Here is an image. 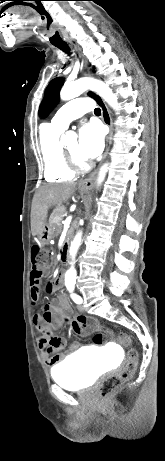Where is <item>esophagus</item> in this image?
<instances>
[{
    "label": "esophagus",
    "instance_id": "obj_1",
    "mask_svg": "<svg viewBox=\"0 0 165 461\" xmlns=\"http://www.w3.org/2000/svg\"><path fill=\"white\" fill-rule=\"evenodd\" d=\"M71 44L75 47L77 53L79 54V57L81 58L82 54H81L80 47L77 45V43L74 40L71 41ZM85 67H86V72L88 74H90V69H89V67L87 65V62H85ZM98 97L100 98V101H101L99 104L101 105L103 122L109 128V133H108L107 139H106V148H105V152L103 154V159H104L107 156V153H108L110 145H111V140H112V135H113V125H112L111 115L109 113V110H108V107H107L106 103L104 102V100L100 96H98ZM97 173H98V169L96 171H94L92 174H90L87 178L81 180L79 182V186L82 187V188H87V189L92 188L94 183H95Z\"/></svg>",
    "mask_w": 165,
    "mask_h": 461
}]
</instances>
